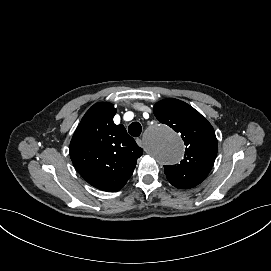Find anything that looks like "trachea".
Instances as JSON below:
<instances>
[{
    "instance_id": "obj_1",
    "label": "trachea",
    "mask_w": 271,
    "mask_h": 271,
    "mask_svg": "<svg viewBox=\"0 0 271 271\" xmlns=\"http://www.w3.org/2000/svg\"><path fill=\"white\" fill-rule=\"evenodd\" d=\"M128 132L133 137L140 136V134L142 132L141 124L139 122H133V123H131L129 125V127H128Z\"/></svg>"
}]
</instances>
